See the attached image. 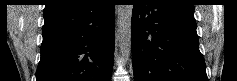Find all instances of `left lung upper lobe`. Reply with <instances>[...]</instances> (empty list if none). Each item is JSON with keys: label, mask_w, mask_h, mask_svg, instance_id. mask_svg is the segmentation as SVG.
Segmentation results:
<instances>
[{"label": "left lung upper lobe", "mask_w": 237, "mask_h": 81, "mask_svg": "<svg viewBox=\"0 0 237 81\" xmlns=\"http://www.w3.org/2000/svg\"><path fill=\"white\" fill-rule=\"evenodd\" d=\"M165 1L177 4V5H181V6H184L186 8L194 9V4H193L192 0H165Z\"/></svg>", "instance_id": "1"}]
</instances>
